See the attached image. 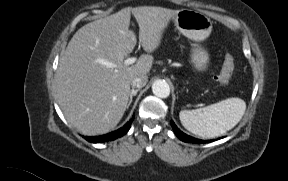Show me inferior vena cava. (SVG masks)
Listing matches in <instances>:
<instances>
[{
    "instance_id": "602c4592",
    "label": "inferior vena cava",
    "mask_w": 288,
    "mask_h": 181,
    "mask_svg": "<svg viewBox=\"0 0 288 181\" xmlns=\"http://www.w3.org/2000/svg\"><path fill=\"white\" fill-rule=\"evenodd\" d=\"M147 82H148L147 75H140V76L135 77L132 80L131 85H132V87L142 88L147 84Z\"/></svg>"
}]
</instances>
